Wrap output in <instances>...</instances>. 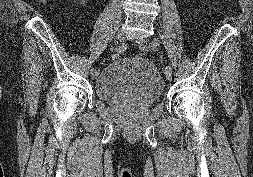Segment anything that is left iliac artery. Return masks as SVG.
I'll return each mask as SVG.
<instances>
[{
  "instance_id": "44dca946",
  "label": "left iliac artery",
  "mask_w": 253,
  "mask_h": 177,
  "mask_svg": "<svg viewBox=\"0 0 253 177\" xmlns=\"http://www.w3.org/2000/svg\"><path fill=\"white\" fill-rule=\"evenodd\" d=\"M160 40L159 39H153V41L149 44V48L152 49H158V47L160 46ZM165 71H171L172 72V67L170 65H167L165 68Z\"/></svg>"
}]
</instances>
